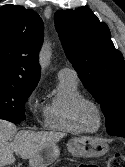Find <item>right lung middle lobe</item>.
<instances>
[{
    "mask_svg": "<svg viewBox=\"0 0 125 167\" xmlns=\"http://www.w3.org/2000/svg\"><path fill=\"white\" fill-rule=\"evenodd\" d=\"M33 90L0 85V116L15 122L24 121L25 102Z\"/></svg>",
    "mask_w": 125,
    "mask_h": 167,
    "instance_id": "1",
    "label": "right lung middle lobe"
}]
</instances>
